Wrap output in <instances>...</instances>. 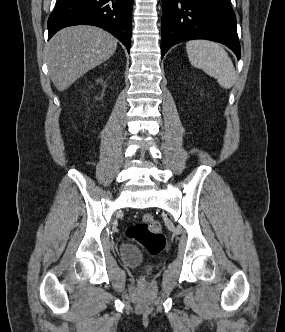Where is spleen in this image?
I'll list each match as a JSON object with an SVG mask.
<instances>
[{"label":"spleen","instance_id":"obj_1","mask_svg":"<svg viewBox=\"0 0 285 332\" xmlns=\"http://www.w3.org/2000/svg\"><path fill=\"white\" fill-rule=\"evenodd\" d=\"M191 64L214 77L225 89L235 83V68L228 53L216 42L192 40L186 43Z\"/></svg>","mask_w":285,"mask_h":332}]
</instances>
